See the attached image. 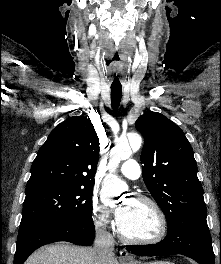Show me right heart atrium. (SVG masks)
Returning <instances> with one entry per match:
<instances>
[{
  "instance_id": "obj_1",
  "label": "right heart atrium",
  "mask_w": 221,
  "mask_h": 264,
  "mask_svg": "<svg viewBox=\"0 0 221 264\" xmlns=\"http://www.w3.org/2000/svg\"><path fill=\"white\" fill-rule=\"evenodd\" d=\"M90 213L97 230L108 232L114 228V222L110 218L109 211L95 197L90 202Z\"/></svg>"
}]
</instances>
